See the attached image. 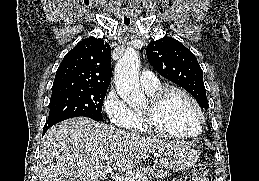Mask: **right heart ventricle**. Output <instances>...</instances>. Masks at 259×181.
Here are the masks:
<instances>
[{
	"label": "right heart ventricle",
	"mask_w": 259,
	"mask_h": 181,
	"mask_svg": "<svg viewBox=\"0 0 259 181\" xmlns=\"http://www.w3.org/2000/svg\"><path fill=\"white\" fill-rule=\"evenodd\" d=\"M159 88H160V85L158 84L157 86H155L153 88L144 89V90L149 96H151ZM128 129L135 131V132H139V133H151L152 132L145 122V118H144L142 110L132 111V121H131V125Z\"/></svg>",
	"instance_id": "obj_1"
}]
</instances>
